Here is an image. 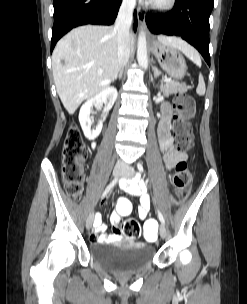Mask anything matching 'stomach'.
Returning <instances> with one entry per match:
<instances>
[{
  "mask_svg": "<svg viewBox=\"0 0 247 304\" xmlns=\"http://www.w3.org/2000/svg\"><path fill=\"white\" fill-rule=\"evenodd\" d=\"M152 52L163 70L175 79H182L187 71L186 61L181 53L160 41L152 43Z\"/></svg>",
  "mask_w": 247,
  "mask_h": 304,
  "instance_id": "0dacf381",
  "label": "stomach"
}]
</instances>
